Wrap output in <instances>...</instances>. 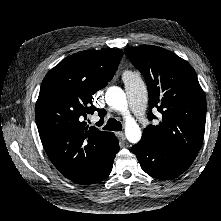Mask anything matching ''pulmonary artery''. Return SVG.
<instances>
[{
  "mask_svg": "<svg viewBox=\"0 0 221 221\" xmlns=\"http://www.w3.org/2000/svg\"><path fill=\"white\" fill-rule=\"evenodd\" d=\"M122 80L129 103L126 111L131 112L142 124L146 121L145 104L147 101V87L142 75L138 71H127L123 74Z\"/></svg>",
  "mask_w": 221,
  "mask_h": 221,
  "instance_id": "1",
  "label": "pulmonary artery"
}]
</instances>
